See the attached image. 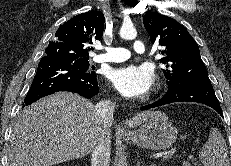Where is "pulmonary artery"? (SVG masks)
<instances>
[{"instance_id": "obj_1", "label": "pulmonary artery", "mask_w": 231, "mask_h": 166, "mask_svg": "<svg viewBox=\"0 0 231 166\" xmlns=\"http://www.w3.org/2000/svg\"><path fill=\"white\" fill-rule=\"evenodd\" d=\"M133 49L137 53H144L146 51L145 45L142 41L136 40L133 44ZM131 56V51L123 47H109L106 52L94 57V62H122Z\"/></svg>"}]
</instances>
